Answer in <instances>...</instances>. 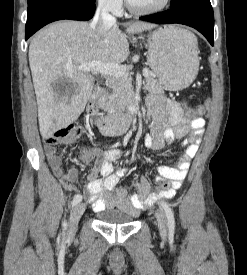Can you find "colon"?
I'll return each instance as SVG.
<instances>
[{
    "mask_svg": "<svg viewBox=\"0 0 247 275\" xmlns=\"http://www.w3.org/2000/svg\"><path fill=\"white\" fill-rule=\"evenodd\" d=\"M205 107L203 105H197L192 109H189V113L192 116L203 114ZM81 135V129L76 124H70L57 130L54 134L45 138L47 145L55 146L60 144H66L76 141ZM169 188V184L165 183L161 186V191Z\"/></svg>",
    "mask_w": 247,
    "mask_h": 275,
    "instance_id": "colon-1",
    "label": "colon"
}]
</instances>
